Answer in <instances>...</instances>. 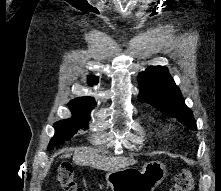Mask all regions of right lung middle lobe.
Returning <instances> with one entry per match:
<instances>
[{
	"label": "right lung middle lobe",
	"mask_w": 221,
	"mask_h": 191,
	"mask_svg": "<svg viewBox=\"0 0 221 191\" xmlns=\"http://www.w3.org/2000/svg\"><path fill=\"white\" fill-rule=\"evenodd\" d=\"M72 114V118L60 120L54 124L55 135L48 145V150H51L56 145H62L65 141L70 140L79 129H88L90 113L72 111Z\"/></svg>",
	"instance_id": "dd1d6c3e"
}]
</instances>
